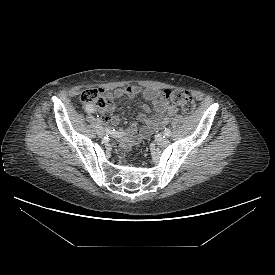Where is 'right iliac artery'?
Listing matches in <instances>:
<instances>
[{
	"label": "right iliac artery",
	"instance_id": "right-iliac-artery-1",
	"mask_svg": "<svg viewBox=\"0 0 275 275\" xmlns=\"http://www.w3.org/2000/svg\"><path fill=\"white\" fill-rule=\"evenodd\" d=\"M85 111L88 113H94L95 109L92 105H86ZM97 117H98V115H97ZM106 131L108 134H110L111 136H114V137H121L125 134L123 131H115L114 129H107Z\"/></svg>",
	"mask_w": 275,
	"mask_h": 275
}]
</instances>
